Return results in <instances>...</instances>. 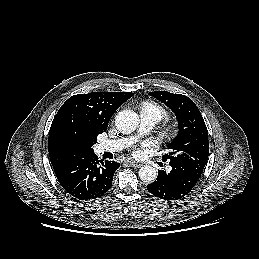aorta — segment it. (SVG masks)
<instances>
[{"label": "aorta", "mask_w": 259, "mask_h": 259, "mask_svg": "<svg viewBox=\"0 0 259 259\" xmlns=\"http://www.w3.org/2000/svg\"><path fill=\"white\" fill-rule=\"evenodd\" d=\"M115 124L117 129L124 133L129 134L136 130L139 125V116L132 110L120 111L115 117ZM157 171L154 167L143 165L139 169V177L144 182H153L157 178Z\"/></svg>", "instance_id": "1"}]
</instances>
